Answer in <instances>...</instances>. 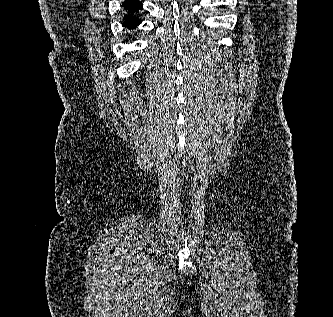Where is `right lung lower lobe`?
<instances>
[{"label":"right lung lower lobe","instance_id":"obj_1","mask_svg":"<svg viewBox=\"0 0 333 317\" xmlns=\"http://www.w3.org/2000/svg\"><path fill=\"white\" fill-rule=\"evenodd\" d=\"M124 8V20L123 25L127 29H133L141 23L137 17L138 11L143 7L140 0H125L122 4Z\"/></svg>","mask_w":333,"mask_h":317}]
</instances>
